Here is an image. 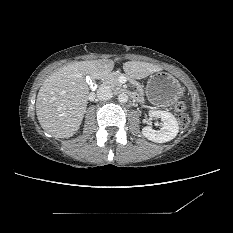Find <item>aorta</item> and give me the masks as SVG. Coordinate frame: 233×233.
Listing matches in <instances>:
<instances>
[{
  "label": "aorta",
  "instance_id": "1",
  "mask_svg": "<svg viewBox=\"0 0 233 233\" xmlns=\"http://www.w3.org/2000/svg\"><path fill=\"white\" fill-rule=\"evenodd\" d=\"M118 101L120 103H126L128 101V95L125 93H121L118 95Z\"/></svg>",
  "mask_w": 233,
  "mask_h": 233
}]
</instances>
